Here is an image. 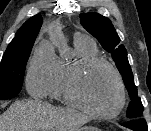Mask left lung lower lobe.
Returning <instances> with one entry per match:
<instances>
[{"instance_id":"1","label":"left lung lower lobe","mask_w":151,"mask_h":131,"mask_svg":"<svg viewBox=\"0 0 151 131\" xmlns=\"http://www.w3.org/2000/svg\"><path fill=\"white\" fill-rule=\"evenodd\" d=\"M122 126L132 129L134 131H148V127L144 119L129 121L123 123Z\"/></svg>"}]
</instances>
